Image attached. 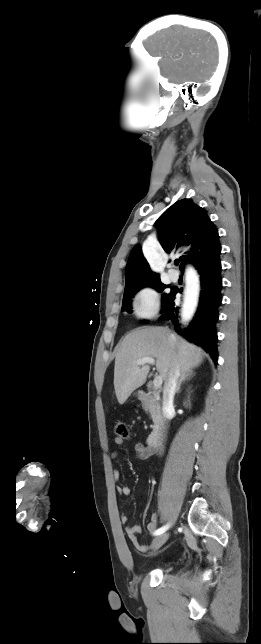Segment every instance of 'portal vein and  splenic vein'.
I'll list each match as a JSON object with an SVG mask.
<instances>
[{"label":"portal vein and splenic vein","instance_id":"obj_1","mask_svg":"<svg viewBox=\"0 0 261 644\" xmlns=\"http://www.w3.org/2000/svg\"><path fill=\"white\" fill-rule=\"evenodd\" d=\"M138 365H144V364H155V359L152 357H144L136 361ZM163 383V379L160 375L156 376L153 381V386L154 388H159Z\"/></svg>","mask_w":261,"mask_h":644}]
</instances>
